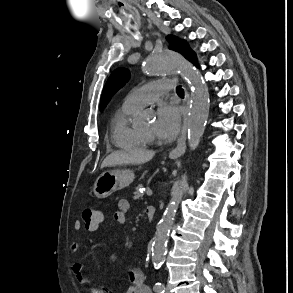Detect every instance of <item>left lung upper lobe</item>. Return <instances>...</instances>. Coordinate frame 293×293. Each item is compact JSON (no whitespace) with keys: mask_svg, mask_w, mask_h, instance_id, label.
I'll return each instance as SVG.
<instances>
[{"mask_svg":"<svg viewBox=\"0 0 293 293\" xmlns=\"http://www.w3.org/2000/svg\"><path fill=\"white\" fill-rule=\"evenodd\" d=\"M170 44V48L180 52L187 59L191 60L195 54L189 48L186 41L175 36L169 35L166 37ZM129 79V71L125 68L116 69L108 78L101 97L100 109L102 110L114 93H116Z\"/></svg>","mask_w":293,"mask_h":293,"instance_id":"obj_1","label":"left lung upper lobe"}]
</instances>
